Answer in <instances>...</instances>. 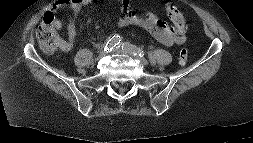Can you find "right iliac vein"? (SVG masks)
I'll list each match as a JSON object with an SVG mask.
<instances>
[{
    "instance_id": "63e3f726",
    "label": "right iliac vein",
    "mask_w": 253,
    "mask_h": 143,
    "mask_svg": "<svg viewBox=\"0 0 253 143\" xmlns=\"http://www.w3.org/2000/svg\"><path fill=\"white\" fill-rule=\"evenodd\" d=\"M100 55H104V52H103V51H101V52H100Z\"/></svg>"
}]
</instances>
